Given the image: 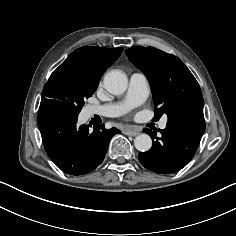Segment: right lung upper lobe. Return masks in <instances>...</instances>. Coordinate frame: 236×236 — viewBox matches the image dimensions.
I'll return each instance as SVG.
<instances>
[{"label": "right lung upper lobe", "mask_w": 236, "mask_h": 236, "mask_svg": "<svg viewBox=\"0 0 236 236\" xmlns=\"http://www.w3.org/2000/svg\"><path fill=\"white\" fill-rule=\"evenodd\" d=\"M123 48L84 46L72 52L56 69L67 70L75 76L98 84L105 70L120 56Z\"/></svg>", "instance_id": "1"}]
</instances>
